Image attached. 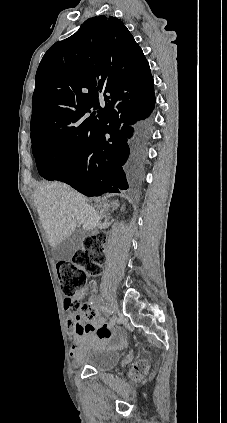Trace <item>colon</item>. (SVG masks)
Wrapping results in <instances>:
<instances>
[{
    "label": "colon",
    "mask_w": 227,
    "mask_h": 423,
    "mask_svg": "<svg viewBox=\"0 0 227 423\" xmlns=\"http://www.w3.org/2000/svg\"><path fill=\"white\" fill-rule=\"evenodd\" d=\"M105 243L106 234L103 232L88 236L84 239L83 250L77 252L72 260L60 261L57 264L62 292L67 297L66 308L72 312H79L86 319L92 317L91 308L73 298L85 286L88 275L101 272L105 260Z\"/></svg>",
    "instance_id": "5ec220e1"
}]
</instances>
